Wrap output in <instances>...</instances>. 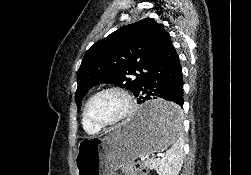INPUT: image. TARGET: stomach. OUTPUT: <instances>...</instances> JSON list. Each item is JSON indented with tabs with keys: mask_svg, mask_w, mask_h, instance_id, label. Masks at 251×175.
<instances>
[{
	"mask_svg": "<svg viewBox=\"0 0 251 175\" xmlns=\"http://www.w3.org/2000/svg\"><path fill=\"white\" fill-rule=\"evenodd\" d=\"M174 100H145L135 115L107 131L106 135L84 137L74 157L76 175H113L122 165L140 155L156 154L169 148L175 136L182 134Z\"/></svg>",
	"mask_w": 251,
	"mask_h": 175,
	"instance_id": "0dacf381",
	"label": "stomach"
}]
</instances>
